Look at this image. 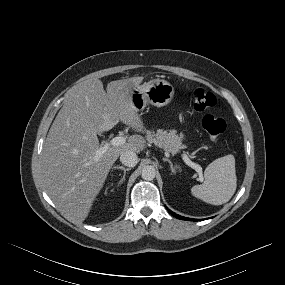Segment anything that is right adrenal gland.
<instances>
[{
	"mask_svg": "<svg viewBox=\"0 0 285 285\" xmlns=\"http://www.w3.org/2000/svg\"><path fill=\"white\" fill-rule=\"evenodd\" d=\"M114 169H120V170L123 171V177H122V179L120 180V182L118 183V185L121 184V183L123 182V180L125 179L126 172L129 171V170H131V168H125V167H123V166H115Z\"/></svg>",
	"mask_w": 285,
	"mask_h": 285,
	"instance_id": "1",
	"label": "right adrenal gland"
}]
</instances>
